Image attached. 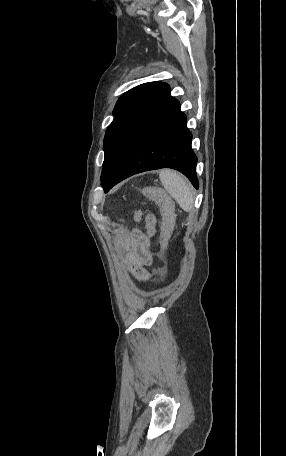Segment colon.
I'll use <instances>...</instances> for the list:
<instances>
[{
  "label": "colon",
  "instance_id": "colon-1",
  "mask_svg": "<svg viewBox=\"0 0 286 456\" xmlns=\"http://www.w3.org/2000/svg\"><path fill=\"white\" fill-rule=\"evenodd\" d=\"M141 193L153 201H155L162 212L163 222H162V237H161V256L163 257L165 245L170 236L172 230V217H173V204L170 197L159 187L157 186H146L142 188ZM155 273L158 275H163L165 273V268L163 266L157 267Z\"/></svg>",
  "mask_w": 286,
  "mask_h": 456
}]
</instances>
